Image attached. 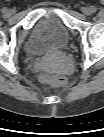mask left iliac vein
I'll use <instances>...</instances> for the list:
<instances>
[{
  "mask_svg": "<svg viewBox=\"0 0 104 137\" xmlns=\"http://www.w3.org/2000/svg\"><path fill=\"white\" fill-rule=\"evenodd\" d=\"M92 7H89V6H87V7H83L82 8V12L85 14V15H90V14H92Z\"/></svg>",
  "mask_w": 104,
  "mask_h": 137,
  "instance_id": "left-iliac-vein-1",
  "label": "left iliac vein"
}]
</instances>
